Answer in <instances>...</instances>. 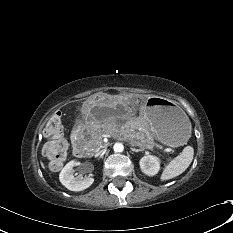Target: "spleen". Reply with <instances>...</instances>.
I'll list each match as a JSON object with an SVG mask.
<instances>
[{
	"mask_svg": "<svg viewBox=\"0 0 233 233\" xmlns=\"http://www.w3.org/2000/svg\"><path fill=\"white\" fill-rule=\"evenodd\" d=\"M194 156V149L186 146L182 153L174 158L163 170L161 180H169L182 174L191 164Z\"/></svg>",
	"mask_w": 233,
	"mask_h": 233,
	"instance_id": "3e777b00",
	"label": "spleen"
}]
</instances>
